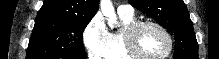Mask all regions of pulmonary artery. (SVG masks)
<instances>
[{
    "label": "pulmonary artery",
    "instance_id": "1",
    "mask_svg": "<svg viewBox=\"0 0 219 59\" xmlns=\"http://www.w3.org/2000/svg\"><path fill=\"white\" fill-rule=\"evenodd\" d=\"M117 11L122 14H134V8L128 4L120 5Z\"/></svg>",
    "mask_w": 219,
    "mask_h": 59
}]
</instances>
